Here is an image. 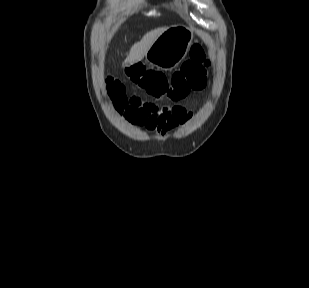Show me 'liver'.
Here are the masks:
<instances>
[{"instance_id": "6515ba94", "label": "liver", "mask_w": 309, "mask_h": 288, "mask_svg": "<svg viewBox=\"0 0 309 288\" xmlns=\"http://www.w3.org/2000/svg\"><path fill=\"white\" fill-rule=\"evenodd\" d=\"M166 27L157 28L148 32L141 41L135 43L129 52L126 60L124 61L125 65H132L143 59L153 42L166 30Z\"/></svg>"}]
</instances>
